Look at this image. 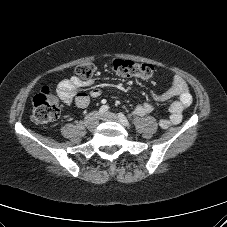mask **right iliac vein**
<instances>
[{"instance_id":"right-iliac-vein-1","label":"right iliac vein","mask_w":227,"mask_h":227,"mask_svg":"<svg viewBox=\"0 0 227 227\" xmlns=\"http://www.w3.org/2000/svg\"><path fill=\"white\" fill-rule=\"evenodd\" d=\"M102 116L100 112H92L85 118V125L90 130H94L98 125V119Z\"/></svg>"}]
</instances>
